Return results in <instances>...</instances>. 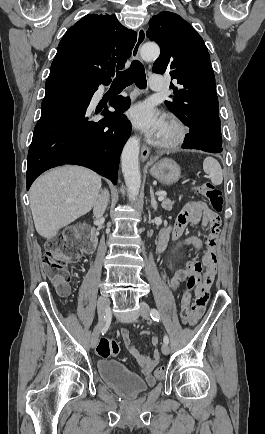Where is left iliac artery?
<instances>
[{
    "mask_svg": "<svg viewBox=\"0 0 265 434\" xmlns=\"http://www.w3.org/2000/svg\"><path fill=\"white\" fill-rule=\"evenodd\" d=\"M150 315H151V318H152L154 321H157V322L160 321V314H159V312H158L155 308H152V309H151V311H150ZM163 341H164L165 344H168V343H169V338H168L167 335H164Z\"/></svg>",
    "mask_w": 265,
    "mask_h": 434,
    "instance_id": "1",
    "label": "left iliac artery"
}]
</instances>
